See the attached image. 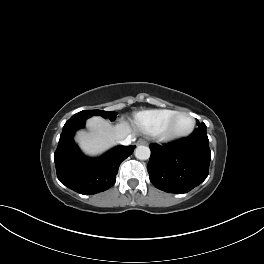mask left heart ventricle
I'll list each match as a JSON object with an SVG mask.
<instances>
[{"instance_id":"obj_1","label":"left heart ventricle","mask_w":264,"mask_h":264,"mask_svg":"<svg viewBox=\"0 0 264 264\" xmlns=\"http://www.w3.org/2000/svg\"><path fill=\"white\" fill-rule=\"evenodd\" d=\"M190 119L186 115L178 116L173 125L175 131H184L190 126Z\"/></svg>"}]
</instances>
